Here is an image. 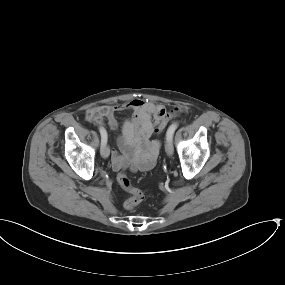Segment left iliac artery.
I'll return each instance as SVG.
<instances>
[{"instance_id": "44dca946", "label": "left iliac artery", "mask_w": 285, "mask_h": 285, "mask_svg": "<svg viewBox=\"0 0 285 285\" xmlns=\"http://www.w3.org/2000/svg\"><path fill=\"white\" fill-rule=\"evenodd\" d=\"M178 128V124L177 123H173L169 126L168 130H167V138H172L175 130Z\"/></svg>"}]
</instances>
